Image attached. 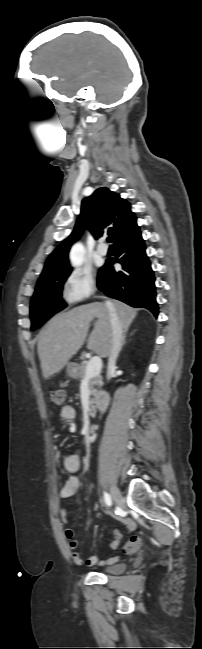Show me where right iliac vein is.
<instances>
[{
    "instance_id": "63e3f726",
    "label": "right iliac vein",
    "mask_w": 202,
    "mask_h": 649,
    "mask_svg": "<svg viewBox=\"0 0 202 649\" xmlns=\"http://www.w3.org/2000/svg\"><path fill=\"white\" fill-rule=\"evenodd\" d=\"M110 490H111V496H112V499H113L114 503L118 507H122V505L124 503V499H123V496H122L121 492L119 491V489L115 485L112 484Z\"/></svg>"
}]
</instances>
